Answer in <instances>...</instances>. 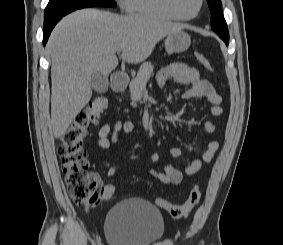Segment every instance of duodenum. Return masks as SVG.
Masks as SVG:
<instances>
[{"instance_id": "410a0bca", "label": "duodenum", "mask_w": 283, "mask_h": 245, "mask_svg": "<svg viewBox=\"0 0 283 245\" xmlns=\"http://www.w3.org/2000/svg\"><path fill=\"white\" fill-rule=\"evenodd\" d=\"M128 83V76L122 72H116L112 79V88L115 92L123 91Z\"/></svg>"}]
</instances>
